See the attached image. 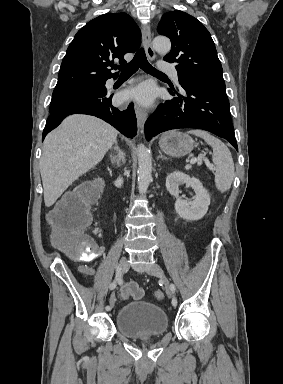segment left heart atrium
<instances>
[{
    "mask_svg": "<svg viewBox=\"0 0 283 384\" xmlns=\"http://www.w3.org/2000/svg\"><path fill=\"white\" fill-rule=\"evenodd\" d=\"M153 88L148 85H142L132 90L125 91L119 95L120 101L135 100L140 103H148L153 99Z\"/></svg>",
    "mask_w": 283,
    "mask_h": 384,
    "instance_id": "39dd6f15",
    "label": "left heart atrium"
}]
</instances>
